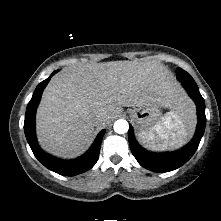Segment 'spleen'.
<instances>
[{"label": "spleen", "instance_id": "1", "mask_svg": "<svg viewBox=\"0 0 221 221\" xmlns=\"http://www.w3.org/2000/svg\"><path fill=\"white\" fill-rule=\"evenodd\" d=\"M194 109L187 112L170 111L164 117L156 131L162 143L155 144L153 135L145 136L138 134L139 140L149 149L166 150L181 147L192 135L195 127ZM147 139L152 140L151 143H146Z\"/></svg>", "mask_w": 221, "mask_h": 221}]
</instances>
